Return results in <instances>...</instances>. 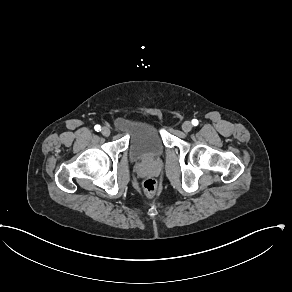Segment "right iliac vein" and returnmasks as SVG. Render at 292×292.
Returning <instances> with one entry per match:
<instances>
[{
  "instance_id": "obj_1",
  "label": "right iliac vein",
  "mask_w": 292,
  "mask_h": 292,
  "mask_svg": "<svg viewBox=\"0 0 292 292\" xmlns=\"http://www.w3.org/2000/svg\"><path fill=\"white\" fill-rule=\"evenodd\" d=\"M101 133L103 136L108 137L111 133L110 129L106 126L102 127Z\"/></svg>"
}]
</instances>
